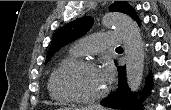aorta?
Masks as SVG:
<instances>
[{
    "label": "aorta",
    "mask_w": 171,
    "mask_h": 110,
    "mask_svg": "<svg viewBox=\"0 0 171 110\" xmlns=\"http://www.w3.org/2000/svg\"><path fill=\"white\" fill-rule=\"evenodd\" d=\"M106 28H114L122 37L126 54V78L132 92L140 88L144 70V44L136 22L127 15L107 14L102 19Z\"/></svg>",
    "instance_id": "762f6f07"
}]
</instances>
